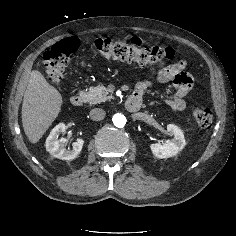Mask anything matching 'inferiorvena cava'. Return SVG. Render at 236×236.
<instances>
[{
    "mask_svg": "<svg viewBox=\"0 0 236 236\" xmlns=\"http://www.w3.org/2000/svg\"><path fill=\"white\" fill-rule=\"evenodd\" d=\"M89 114H90L91 119L94 121L103 120L106 115L105 111L101 108H94L90 111Z\"/></svg>",
    "mask_w": 236,
    "mask_h": 236,
    "instance_id": "obj_1",
    "label": "inferior vena cava"
}]
</instances>
